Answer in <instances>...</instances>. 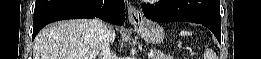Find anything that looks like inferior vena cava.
Here are the masks:
<instances>
[{
    "mask_svg": "<svg viewBox=\"0 0 261 59\" xmlns=\"http://www.w3.org/2000/svg\"><path fill=\"white\" fill-rule=\"evenodd\" d=\"M92 32L98 45L99 59H116L110 49V35L107 25L101 20L94 19Z\"/></svg>",
    "mask_w": 261,
    "mask_h": 59,
    "instance_id": "1",
    "label": "inferior vena cava"
}]
</instances>
